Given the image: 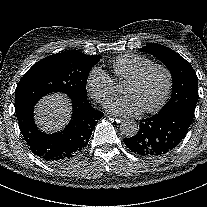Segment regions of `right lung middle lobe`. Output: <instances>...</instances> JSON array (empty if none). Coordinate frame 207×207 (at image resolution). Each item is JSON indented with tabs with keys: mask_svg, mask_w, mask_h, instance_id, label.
<instances>
[{
	"mask_svg": "<svg viewBox=\"0 0 207 207\" xmlns=\"http://www.w3.org/2000/svg\"><path fill=\"white\" fill-rule=\"evenodd\" d=\"M100 55L70 51L48 56L34 64L15 90V111L35 105L44 95L61 92L72 101H87L86 83Z\"/></svg>",
	"mask_w": 207,
	"mask_h": 207,
	"instance_id": "obj_1",
	"label": "right lung middle lobe"
}]
</instances>
